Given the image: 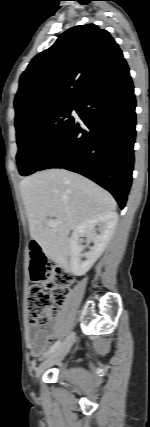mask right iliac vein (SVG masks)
Masks as SVG:
<instances>
[{
	"label": "right iliac vein",
	"instance_id": "right-iliac-vein-1",
	"mask_svg": "<svg viewBox=\"0 0 150 427\" xmlns=\"http://www.w3.org/2000/svg\"><path fill=\"white\" fill-rule=\"evenodd\" d=\"M75 334L70 333L64 342L38 367L36 377L39 378L50 366L62 360L70 350Z\"/></svg>",
	"mask_w": 150,
	"mask_h": 427
}]
</instances>
